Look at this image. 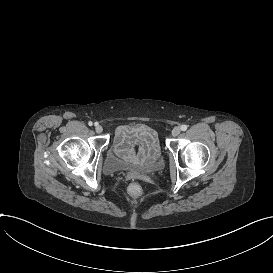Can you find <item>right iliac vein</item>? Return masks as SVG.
I'll return each mask as SVG.
<instances>
[{"label":"right iliac vein","instance_id":"1","mask_svg":"<svg viewBox=\"0 0 273 273\" xmlns=\"http://www.w3.org/2000/svg\"><path fill=\"white\" fill-rule=\"evenodd\" d=\"M95 131H96L97 133H102L103 127H102L101 125H99V124H96V125H95Z\"/></svg>","mask_w":273,"mask_h":273}]
</instances>
